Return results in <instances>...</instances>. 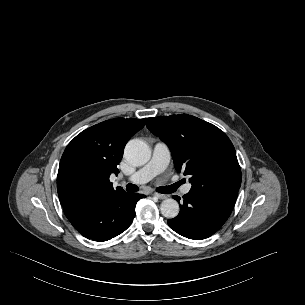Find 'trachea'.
I'll use <instances>...</instances> for the list:
<instances>
[{
	"instance_id": "trachea-1",
	"label": "trachea",
	"mask_w": 305,
	"mask_h": 305,
	"mask_svg": "<svg viewBox=\"0 0 305 305\" xmlns=\"http://www.w3.org/2000/svg\"><path fill=\"white\" fill-rule=\"evenodd\" d=\"M181 184H182L181 182H177V183H175V184H173V185H170V186L159 187V188L157 189V191L160 192V193L169 194V193H172V192L176 191L177 188H178ZM126 190H127V192H130V193H131V192H136V191H138L139 188H138V186L129 183V184H127V186H126Z\"/></svg>"
}]
</instances>
